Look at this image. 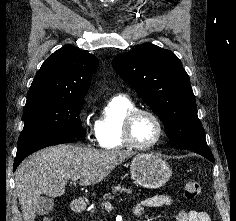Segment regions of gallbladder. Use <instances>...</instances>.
Instances as JSON below:
<instances>
[{
    "label": "gallbladder",
    "instance_id": "gallbladder-1",
    "mask_svg": "<svg viewBox=\"0 0 236 221\" xmlns=\"http://www.w3.org/2000/svg\"><path fill=\"white\" fill-rule=\"evenodd\" d=\"M54 206V200L49 197L41 196L38 201L37 214L46 215L48 214Z\"/></svg>",
    "mask_w": 236,
    "mask_h": 221
}]
</instances>
